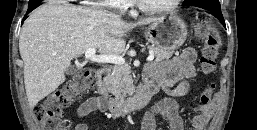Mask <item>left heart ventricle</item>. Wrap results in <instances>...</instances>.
<instances>
[{"mask_svg":"<svg viewBox=\"0 0 257 130\" xmlns=\"http://www.w3.org/2000/svg\"><path fill=\"white\" fill-rule=\"evenodd\" d=\"M146 6L160 8L170 4L173 0H141Z\"/></svg>","mask_w":257,"mask_h":130,"instance_id":"b2bd125f","label":"left heart ventricle"}]
</instances>
